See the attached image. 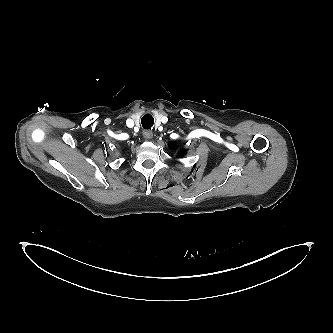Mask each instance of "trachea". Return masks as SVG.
Returning <instances> with one entry per match:
<instances>
[{
    "instance_id": "1",
    "label": "trachea",
    "mask_w": 333,
    "mask_h": 333,
    "mask_svg": "<svg viewBox=\"0 0 333 333\" xmlns=\"http://www.w3.org/2000/svg\"><path fill=\"white\" fill-rule=\"evenodd\" d=\"M141 123L144 129H150L154 124V118L150 114H146L142 117Z\"/></svg>"
}]
</instances>
